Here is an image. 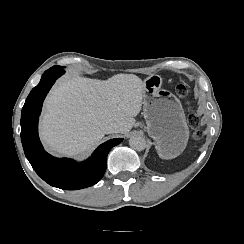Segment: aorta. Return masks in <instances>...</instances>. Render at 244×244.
<instances>
[{"mask_svg": "<svg viewBox=\"0 0 244 244\" xmlns=\"http://www.w3.org/2000/svg\"><path fill=\"white\" fill-rule=\"evenodd\" d=\"M129 145L134 150L142 151L146 147V141L143 137L135 135L129 139Z\"/></svg>", "mask_w": 244, "mask_h": 244, "instance_id": "762f6f07", "label": "aorta"}]
</instances>
